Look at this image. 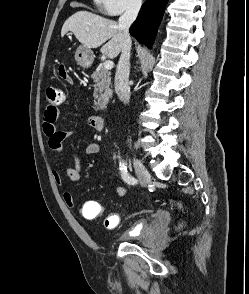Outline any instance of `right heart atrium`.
<instances>
[{
    "label": "right heart atrium",
    "mask_w": 249,
    "mask_h": 294,
    "mask_svg": "<svg viewBox=\"0 0 249 294\" xmlns=\"http://www.w3.org/2000/svg\"><path fill=\"white\" fill-rule=\"evenodd\" d=\"M143 0H95L100 10L109 16H117L127 12H136Z\"/></svg>",
    "instance_id": "right-heart-atrium-1"
}]
</instances>
